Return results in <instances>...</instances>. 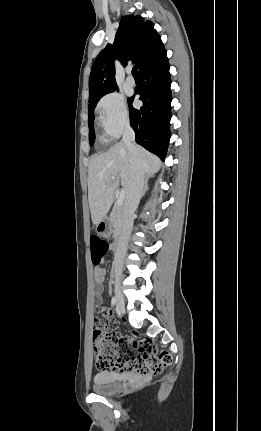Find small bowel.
<instances>
[{
	"instance_id": "c3829d8e",
	"label": "small bowel",
	"mask_w": 261,
	"mask_h": 431,
	"mask_svg": "<svg viewBox=\"0 0 261 431\" xmlns=\"http://www.w3.org/2000/svg\"><path fill=\"white\" fill-rule=\"evenodd\" d=\"M106 269L103 267H96L94 269V281H95V298L93 302L98 305L100 312H98V317L105 318L103 323V328L109 329L111 326V318L115 317V312L111 311L109 308H104L100 306L103 300L104 286L103 282L105 280Z\"/></svg>"
}]
</instances>
